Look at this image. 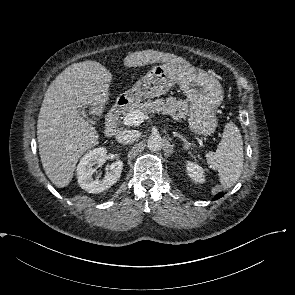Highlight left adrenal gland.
Wrapping results in <instances>:
<instances>
[{"label":"left adrenal gland","mask_w":295,"mask_h":295,"mask_svg":"<svg viewBox=\"0 0 295 295\" xmlns=\"http://www.w3.org/2000/svg\"><path fill=\"white\" fill-rule=\"evenodd\" d=\"M173 135L183 141V146L185 149H189L191 147V143L186 138L181 136L178 132H173Z\"/></svg>","instance_id":"a2214340"}]
</instances>
